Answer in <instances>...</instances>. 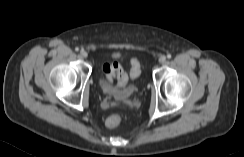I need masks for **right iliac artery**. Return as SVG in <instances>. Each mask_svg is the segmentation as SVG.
<instances>
[{
    "instance_id": "82829eb1",
    "label": "right iliac artery",
    "mask_w": 244,
    "mask_h": 157,
    "mask_svg": "<svg viewBox=\"0 0 244 157\" xmlns=\"http://www.w3.org/2000/svg\"><path fill=\"white\" fill-rule=\"evenodd\" d=\"M75 51H79V48H78V47H76V48H75Z\"/></svg>"
}]
</instances>
